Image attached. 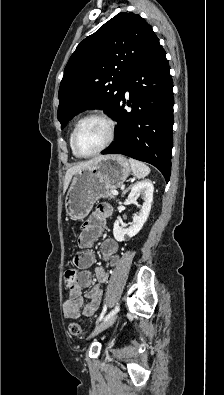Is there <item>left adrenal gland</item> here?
Masks as SVG:
<instances>
[{
    "instance_id": "left-adrenal-gland-1",
    "label": "left adrenal gland",
    "mask_w": 224,
    "mask_h": 395,
    "mask_svg": "<svg viewBox=\"0 0 224 395\" xmlns=\"http://www.w3.org/2000/svg\"><path fill=\"white\" fill-rule=\"evenodd\" d=\"M129 189H130V188H127V189L123 192V194L126 193Z\"/></svg>"
}]
</instances>
